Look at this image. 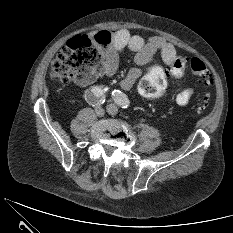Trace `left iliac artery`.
<instances>
[{
  "label": "left iliac artery",
  "mask_w": 233,
  "mask_h": 233,
  "mask_svg": "<svg viewBox=\"0 0 233 233\" xmlns=\"http://www.w3.org/2000/svg\"><path fill=\"white\" fill-rule=\"evenodd\" d=\"M115 102L122 108H127L129 106V100L124 93L119 90H114L112 92Z\"/></svg>",
  "instance_id": "left-iliac-artery-1"
}]
</instances>
